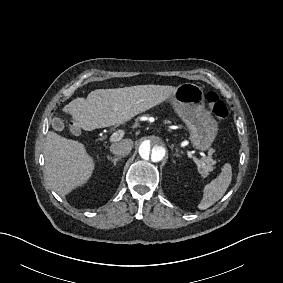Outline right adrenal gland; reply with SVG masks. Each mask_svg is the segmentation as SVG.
Segmentation results:
<instances>
[{
    "instance_id": "1",
    "label": "right adrenal gland",
    "mask_w": 283,
    "mask_h": 283,
    "mask_svg": "<svg viewBox=\"0 0 283 283\" xmlns=\"http://www.w3.org/2000/svg\"><path fill=\"white\" fill-rule=\"evenodd\" d=\"M121 157H116V158H112L109 155L107 156L108 160H111L114 164V166L116 165L117 161L120 160Z\"/></svg>"
}]
</instances>
